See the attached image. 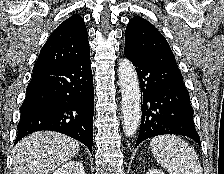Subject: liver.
<instances>
[{
	"mask_svg": "<svg viewBox=\"0 0 224 174\" xmlns=\"http://www.w3.org/2000/svg\"><path fill=\"white\" fill-rule=\"evenodd\" d=\"M78 141L54 131H38L13 149L12 174H49L78 154Z\"/></svg>",
	"mask_w": 224,
	"mask_h": 174,
	"instance_id": "6515ba94",
	"label": "liver"
}]
</instances>
